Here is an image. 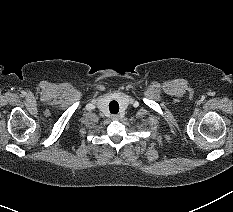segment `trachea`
<instances>
[{"label": "trachea", "mask_w": 233, "mask_h": 212, "mask_svg": "<svg viewBox=\"0 0 233 212\" xmlns=\"http://www.w3.org/2000/svg\"><path fill=\"white\" fill-rule=\"evenodd\" d=\"M109 110H110L111 113H114V114L118 113L119 112L118 102L117 101H111L109 103Z\"/></svg>", "instance_id": "3493384b"}]
</instances>
